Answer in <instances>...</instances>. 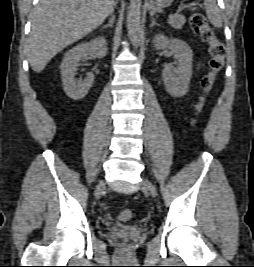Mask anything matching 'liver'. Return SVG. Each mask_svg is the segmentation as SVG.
Wrapping results in <instances>:
<instances>
[{
	"mask_svg": "<svg viewBox=\"0 0 254 267\" xmlns=\"http://www.w3.org/2000/svg\"><path fill=\"white\" fill-rule=\"evenodd\" d=\"M114 6V0H40L27 44L33 71L40 73L56 54L95 30Z\"/></svg>",
	"mask_w": 254,
	"mask_h": 267,
	"instance_id": "obj_1",
	"label": "liver"
}]
</instances>
